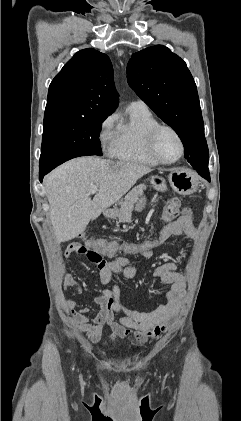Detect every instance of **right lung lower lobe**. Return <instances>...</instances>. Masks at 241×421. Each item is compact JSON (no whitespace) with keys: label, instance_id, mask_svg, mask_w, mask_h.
I'll list each match as a JSON object with an SVG mask.
<instances>
[{"label":"right lung lower lobe","instance_id":"98d812e1","mask_svg":"<svg viewBox=\"0 0 241 421\" xmlns=\"http://www.w3.org/2000/svg\"><path fill=\"white\" fill-rule=\"evenodd\" d=\"M53 168L52 167H48V168H40L39 170V175H40V181L42 182V179L44 177L45 174H47L49 171H51Z\"/></svg>","mask_w":241,"mask_h":421}]
</instances>
